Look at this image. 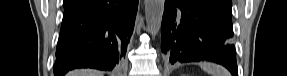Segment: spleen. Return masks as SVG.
Here are the masks:
<instances>
[{
    "mask_svg": "<svg viewBox=\"0 0 287 76\" xmlns=\"http://www.w3.org/2000/svg\"><path fill=\"white\" fill-rule=\"evenodd\" d=\"M202 68L211 76H229L230 73L222 66L213 64V63H205L202 64Z\"/></svg>",
    "mask_w": 287,
    "mask_h": 76,
    "instance_id": "spleen-1",
    "label": "spleen"
}]
</instances>
